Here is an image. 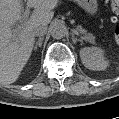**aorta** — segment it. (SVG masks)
I'll return each mask as SVG.
<instances>
[{"mask_svg": "<svg viewBox=\"0 0 119 119\" xmlns=\"http://www.w3.org/2000/svg\"><path fill=\"white\" fill-rule=\"evenodd\" d=\"M68 30L66 26L61 22H55L50 27L51 36L54 39H62L66 36Z\"/></svg>", "mask_w": 119, "mask_h": 119, "instance_id": "aorta-1", "label": "aorta"}]
</instances>
